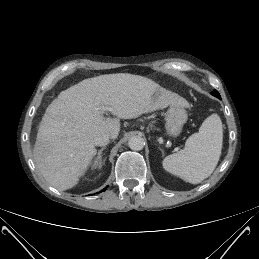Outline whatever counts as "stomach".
<instances>
[{"mask_svg":"<svg viewBox=\"0 0 259 259\" xmlns=\"http://www.w3.org/2000/svg\"><path fill=\"white\" fill-rule=\"evenodd\" d=\"M165 131L169 137L176 138L181 132L187 120V112L182 106L172 105L165 117Z\"/></svg>","mask_w":259,"mask_h":259,"instance_id":"1","label":"stomach"}]
</instances>
